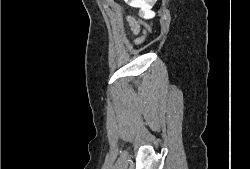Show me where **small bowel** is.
Segmentation results:
<instances>
[{
    "label": "small bowel",
    "instance_id": "small-bowel-1",
    "mask_svg": "<svg viewBox=\"0 0 250 169\" xmlns=\"http://www.w3.org/2000/svg\"><path fill=\"white\" fill-rule=\"evenodd\" d=\"M130 23H131L134 31H138L139 30V26H138V24L135 21L131 20Z\"/></svg>",
    "mask_w": 250,
    "mask_h": 169
}]
</instances>
